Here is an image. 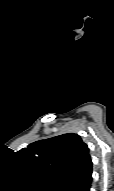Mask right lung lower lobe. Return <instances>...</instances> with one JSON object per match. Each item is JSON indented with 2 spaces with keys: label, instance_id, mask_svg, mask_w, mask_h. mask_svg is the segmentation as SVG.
<instances>
[{
  "label": "right lung lower lobe",
  "instance_id": "98d812e1",
  "mask_svg": "<svg viewBox=\"0 0 114 191\" xmlns=\"http://www.w3.org/2000/svg\"><path fill=\"white\" fill-rule=\"evenodd\" d=\"M92 173L84 177H76L60 185L57 191H89L91 188Z\"/></svg>",
  "mask_w": 114,
  "mask_h": 191
}]
</instances>
